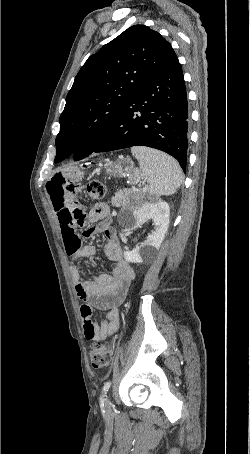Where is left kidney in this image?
<instances>
[{"label":"left kidney","instance_id":"5707ae66","mask_svg":"<svg viewBox=\"0 0 250 454\" xmlns=\"http://www.w3.org/2000/svg\"><path fill=\"white\" fill-rule=\"evenodd\" d=\"M134 224L137 228L143 223L152 220L154 231L149 234L144 243L131 251H124L127 262L141 263L147 257H153L159 250L169 226L170 208L164 201L145 202L141 207L133 210Z\"/></svg>","mask_w":250,"mask_h":454}]
</instances>
